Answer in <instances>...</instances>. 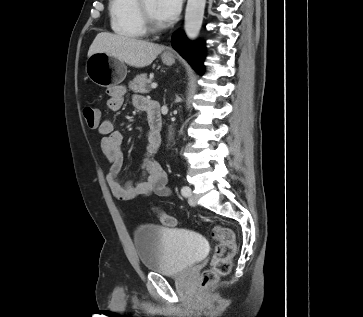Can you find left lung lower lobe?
Segmentation results:
<instances>
[{
	"mask_svg": "<svg viewBox=\"0 0 363 317\" xmlns=\"http://www.w3.org/2000/svg\"><path fill=\"white\" fill-rule=\"evenodd\" d=\"M172 46L176 49L196 70L201 73L203 68V51L200 45L189 42L185 35L176 32L172 37Z\"/></svg>",
	"mask_w": 363,
	"mask_h": 317,
	"instance_id": "1",
	"label": "left lung lower lobe"
}]
</instances>
